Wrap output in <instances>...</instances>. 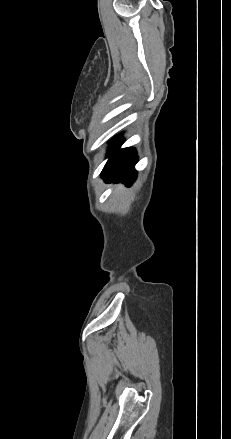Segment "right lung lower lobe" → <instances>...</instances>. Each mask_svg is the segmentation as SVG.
<instances>
[{"instance_id":"obj_1","label":"right lung lower lobe","mask_w":231,"mask_h":439,"mask_svg":"<svg viewBox=\"0 0 231 439\" xmlns=\"http://www.w3.org/2000/svg\"><path fill=\"white\" fill-rule=\"evenodd\" d=\"M123 140L117 138L111 145L106 163L101 176L108 182L122 181L132 184L136 179L134 166L138 161L136 150L133 148L119 149Z\"/></svg>"}]
</instances>
